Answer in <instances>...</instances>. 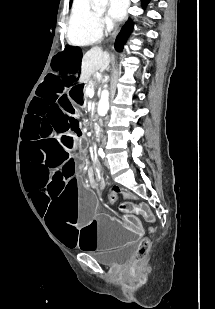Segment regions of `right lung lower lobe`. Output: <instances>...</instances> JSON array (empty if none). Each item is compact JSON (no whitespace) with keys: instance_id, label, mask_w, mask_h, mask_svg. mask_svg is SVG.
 <instances>
[{"instance_id":"1","label":"right lung lower lobe","mask_w":215,"mask_h":309,"mask_svg":"<svg viewBox=\"0 0 215 309\" xmlns=\"http://www.w3.org/2000/svg\"><path fill=\"white\" fill-rule=\"evenodd\" d=\"M142 1L143 6H145L150 0H142ZM132 29H133V23L131 19H129L116 39L115 49L117 51H121L123 49V45L125 44L129 34L132 32Z\"/></svg>"}]
</instances>
